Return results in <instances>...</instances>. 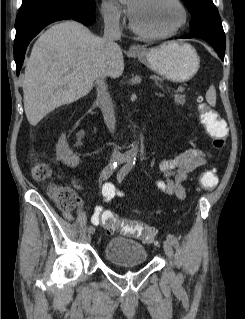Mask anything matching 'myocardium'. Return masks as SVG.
I'll return each mask as SVG.
<instances>
[{
  "instance_id": "1",
  "label": "myocardium",
  "mask_w": 245,
  "mask_h": 319,
  "mask_svg": "<svg viewBox=\"0 0 245 319\" xmlns=\"http://www.w3.org/2000/svg\"><path fill=\"white\" fill-rule=\"evenodd\" d=\"M172 2L179 8L180 13H181V19L179 24L174 27L173 29L166 31V32H161V33H149L146 31L141 30L137 25L134 23L132 18H130V28L134 33H136L138 36L148 39V40H161V39H166L169 37H172L179 33L187 24L188 21V12L184 4L181 2V0H172Z\"/></svg>"
}]
</instances>
